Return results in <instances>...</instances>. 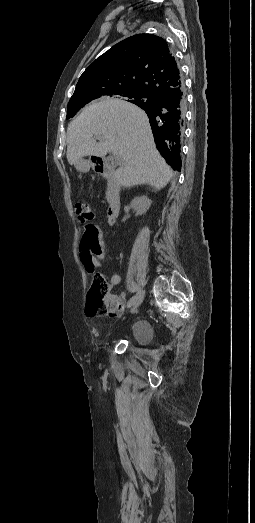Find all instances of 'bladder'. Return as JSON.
I'll use <instances>...</instances> for the list:
<instances>
[{
	"mask_svg": "<svg viewBox=\"0 0 255 523\" xmlns=\"http://www.w3.org/2000/svg\"><path fill=\"white\" fill-rule=\"evenodd\" d=\"M131 337L133 340L148 341L153 337L151 323L146 320L137 323L132 330Z\"/></svg>",
	"mask_w": 255,
	"mask_h": 523,
	"instance_id": "obj_1",
	"label": "bladder"
}]
</instances>
